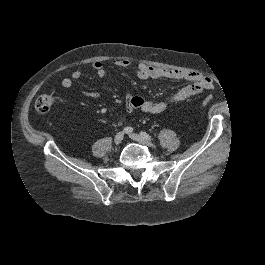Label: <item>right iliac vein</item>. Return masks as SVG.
Wrapping results in <instances>:
<instances>
[{
    "label": "right iliac vein",
    "instance_id": "right-iliac-vein-1",
    "mask_svg": "<svg viewBox=\"0 0 265 265\" xmlns=\"http://www.w3.org/2000/svg\"><path fill=\"white\" fill-rule=\"evenodd\" d=\"M123 138H124V134L122 132L117 133L114 137V143L116 145L120 144L123 141Z\"/></svg>",
    "mask_w": 265,
    "mask_h": 265
}]
</instances>
